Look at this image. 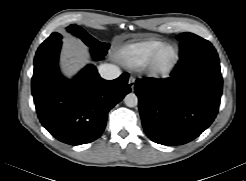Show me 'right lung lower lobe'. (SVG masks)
Segmentation results:
<instances>
[{"instance_id":"obj_1","label":"right lung lower lobe","mask_w":246,"mask_h":181,"mask_svg":"<svg viewBox=\"0 0 246 181\" xmlns=\"http://www.w3.org/2000/svg\"><path fill=\"white\" fill-rule=\"evenodd\" d=\"M60 49L61 40L36 53L31 83L36 111L42 125L59 141L90 143L104 131L110 109L130 92L128 73L109 81L88 65L69 81L59 71Z\"/></svg>"}]
</instances>
